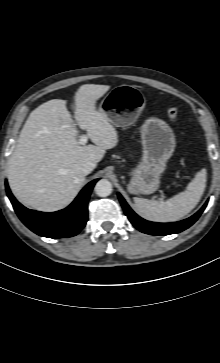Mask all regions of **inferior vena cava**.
<instances>
[{
  "instance_id": "1",
  "label": "inferior vena cava",
  "mask_w": 220,
  "mask_h": 363,
  "mask_svg": "<svg viewBox=\"0 0 220 363\" xmlns=\"http://www.w3.org/2000/svg\"><path fill=\"white\" fill-rule=\"evenodd\" d=\"M96 167V164L94 162H85L82 167H81V171L84 175H88L90 174Z\"/></svg>"
}]
</instances>
